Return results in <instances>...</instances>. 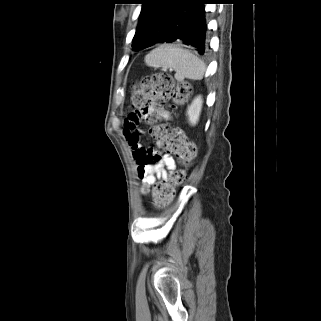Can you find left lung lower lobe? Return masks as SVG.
Instances as JSON below:
<instances>
[{
    "label": "left lung lower lobe",
    "mask_w": 321,
    "mask_h": 321,
    "mask_svg": "<svg viewBox=\"0 0 321 321\" xmlns=\"http://www.w3.org/2000/svg\"><path fill=\"white\" fill-rule=\"evenodd\" d=\"M210 0H178L159 43L185 44L199 54L207 52V25L204 4Z\"/></svg>",
    "instance_id": "left-lung-lower-lobe-1"
}]
</instances>
